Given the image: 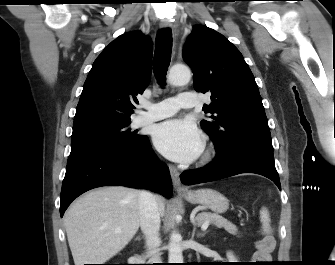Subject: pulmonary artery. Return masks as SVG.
Instances as JSON below:
<instances>
[{
	"label": "pulmonary artery",
	"instance_id": "1",
	"mask_svg": "<svg viewBox=\"0 0 335 265\" xmlns=\"http://www.w3.org/2000/svg\"><path fill=\"white\" fill-rule=\"evenodd\" d=\"M196 95L192 92H182L176 97L164 99L158 103H144L136 123L142 125L148 122L157 121L174 115L180 109H189L196 106Z\"/></svg>",
	"mask_w": 335,
	"mask_h": 265
}]
</instances>
